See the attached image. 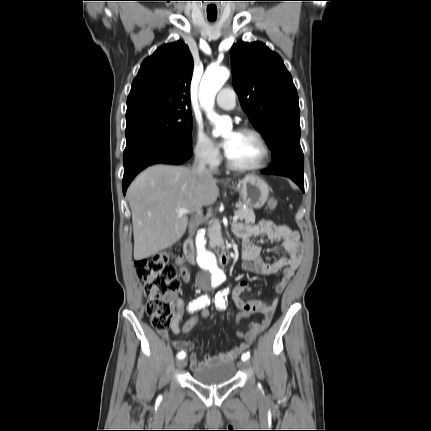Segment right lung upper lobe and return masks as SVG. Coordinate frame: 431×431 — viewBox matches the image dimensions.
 Masks as SVG:
<instances>
[{"label": "right lung upper lobe", "instance_id": "right-lung-upper-lobe-1", "mask_svg": "<svg viewBox=\"0 0 431 431\" xmlns=\"http://www.w3.org/2000/svg\"><path fill=\"white\" fill-rule=\"evenodd\" d=\"M193 64L182 41L159 47L142 62L133 80L126 119L151 112H190Z\"/></svg>", "mask_w": 431, "mask_h": 431}]
</instances>
